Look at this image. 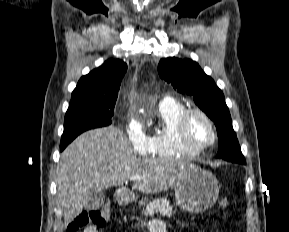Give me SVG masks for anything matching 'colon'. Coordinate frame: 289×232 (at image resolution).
I'll return each instance as SVG.
<instances>
[{
  "mask_svg": "<svg viewBox=\"0 0 289 232\" xmlns=\"http://www.w3.org/2000/svg\"><path fill=\"white\" fill-rule=\"evenodd\" d=\"M219 206L222 209L229 207V201L226 197L219 199ZM110 211L107 206L100 209H93L83 211L78 214L75 219L68 225L67 232H78L84 227L93 225L96 227H103L109 219Z\"/></svg>",
  "mask_w": 289,
  "mask_h": 232,
  "instance_id": "1",
  "label": "colon"
}]
</instances>
